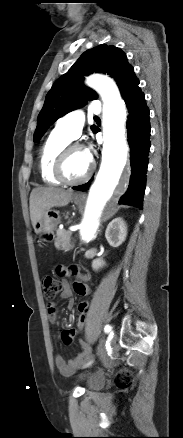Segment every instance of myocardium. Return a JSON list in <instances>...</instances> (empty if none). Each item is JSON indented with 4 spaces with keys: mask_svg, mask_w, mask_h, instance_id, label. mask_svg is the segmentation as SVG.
I'll list each match as a JSON object with an SVG mask.
<instances>
[{
    "mask_svg": "<svg viewBox=\"0 0 183 438\" xmlns=\"http://www.w3.org/2000/svg\"><path fill=\"white\" fill-rule=\"evenodd\" d=\"M77 149H81V150H85L84 147L79 144V143H72V144H68L66 145L57 155L55 163H54V167H53V176L56 178V180L63 185H67V186H76V185H80L83 184L85 182H87L95 169V163L92 159L90 160V165L88 168V171L86 172V174L78 179V180H68L65 175H64V166L66 163V160L68 158V156L70 155L71 152H73L74 150Z\"/></svg>",
    "mask_w": 183,
    "mask_h": 438,
    "instance_id": "obj_1",
    "label": "myocardium"
}]
</instances>
